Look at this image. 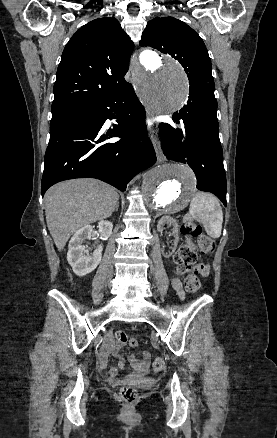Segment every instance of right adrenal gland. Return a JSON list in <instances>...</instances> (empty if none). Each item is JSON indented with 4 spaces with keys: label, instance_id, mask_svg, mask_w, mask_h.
Here are the masks:
<instances>
[{
    "label": "right adrenal gland",
    "instance_id": "obj_1",
    "mask_svg": "<svg viewBox=\"0 0 277 438\" xmlns=\"http://www.w3.org/2000/svg\"><path fill=\"white\" fill-rule=\"evenodd\" d=\"M118 208H119V202H117V204H116V210H115V212H118Z\"/></svg>",
    "mask_w": 277,
    "mask_h": 438
}]
</instances>
